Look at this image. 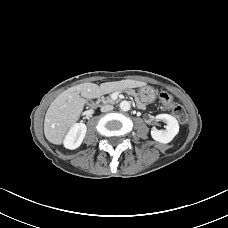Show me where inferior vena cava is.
<instances>
[{"label": "inferior vena cava", "mask_w": 228, "mask_h": 228, "mask_svg": "<svg viewBox=\"0 0 228 228\" xmlns=\"http://www.w3.org/2000/svg\"><path fill=\"white\" fill-rule=\"evenodd\" d=\"M111 110H113V106L112 105H109V104L103 105L101 107V112H108V111H111Z\"/></svg>", "instance_id": "obj_1"}]
</instances>
